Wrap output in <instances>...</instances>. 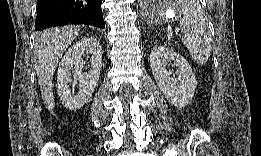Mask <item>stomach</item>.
Masks as SVG:
<instances>
[{"instance_id": "0dacf381", "label": "stomach", "mask_w": 261, "mask_h": 156, "mask_svg": "<svg viewBox=\"0 0 261 156\" xmlns=\"http://www.w3.org/2000/svg\"><path fill=\"white\" fill-rule=\"evenodd\" d=\"M141 15L148 24L163 22L167 8L161 2H145L141 7Z\"/></svg>"}]
</instances>
